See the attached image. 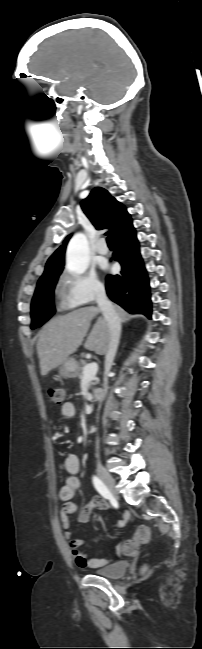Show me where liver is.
I'll return each mask as SVG.
<instances>
[{"instance_id":"1","label":"liver","mask_w":202,"mask_h":649,"mask_svg":"<svg viewBox=\"0 0 202 649\" xmlns=\"http://www.w3.org/2000/svg\"><path fill=\"white\" fill-rule=\"evenodd\" d=\"M115 308L121 321L125 320L126 312L118 306ZM100 311L96 307L77 309L65 315H58L43 327L37 342L42 376H46L50 370L58 367L77 351L89 330L91 321ZM109 338L108 322L103 315L98 318L84 346L98 355H104L108 349Z\"/></svg>"}]
</instances>
